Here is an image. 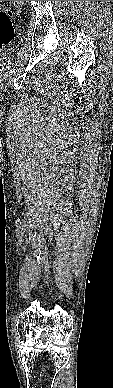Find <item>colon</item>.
Instances as JSON below:
<instances>
[{"mask_svg":"<svg viewBox=\"0 0 113 388\" xmlns=\"http://www.w3.org/2000/svg\"><path fill=\"white\" fill-rule=\"evenodd\" d=\"M15 30L11 20V14L0 9V50L10 44L14 39Z\"/></svg>","mask_w":113,"mask_h":388,"instance_id":"colon-1","label":"colon"}]
</instances>
